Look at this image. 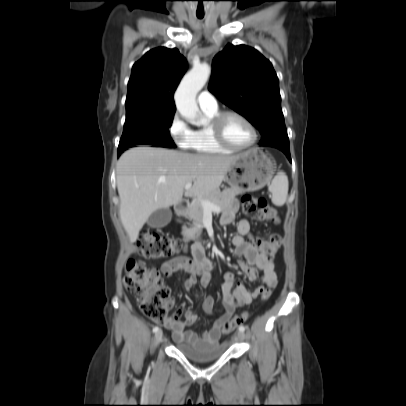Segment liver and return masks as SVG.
I'll use <instances>...</instances> for the list:
<instances>
[{"mask_svg": "<svg viewBox=\"0 0 406 406\" xmlns=\"http://www.w3.org/2000/svg\"><path fill=\"white\" fill-rule=\"evenodd\" d=\"M238 155L191 154L164 148L135 147L124 152L116 166L119 215L130 241L150 215L186 197L218 190ZM194 182L189 189L184 187Z\"/></svg>", "mask_w": 406, "mask_h": 406, "instance_id": "liver-1", "label": "liver"}]
</instances>
